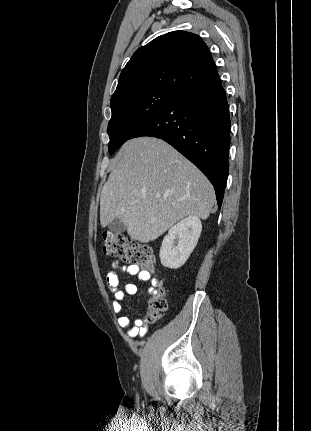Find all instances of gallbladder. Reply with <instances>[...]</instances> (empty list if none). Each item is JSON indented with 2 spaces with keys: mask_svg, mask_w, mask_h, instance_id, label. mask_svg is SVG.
I'll return each instance as SVG.
<instances>
[{
  "mask_svg": "<svg viewBox=\"0 0 311 431\" xmlns=\"http://www.w3.org/2000/svg\"><path fill=\"white\" fill-rule=\"evenodd\" d=\"M108 227L109 229H111V231H114V233H122V231H125L126 229L124 223H122V221H119L117 217H115V219H112V221L108 223Z\"/></svg>",
  "mask_w": 311,
  "mask_h": 431,
  "instance_id": "1",
  "label": "gallbladder"
}]
</instances>
